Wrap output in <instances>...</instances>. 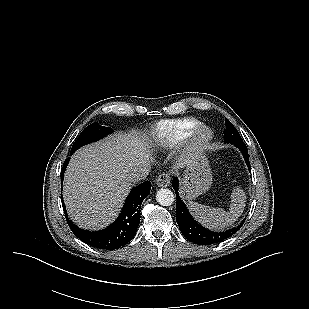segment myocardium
Listing matches in <instances>:
<instances>
[{
	"label": "myocardium",
	"instance_id": "f54148a6",
	"mask_svg": "<svg viewBox=\"0 0 309 309\" xmlns=\"http://www.w3.org/2000/svg\"><path fill=\"white\" fill-rule=\"evenodd\" d=\"M213 139V131L210 127L200 124L190 135L189 149L200 150L209 145Z\"/></svg>",
	"mask_w": 309,
	"mask_h": 309
}]
</instances>
